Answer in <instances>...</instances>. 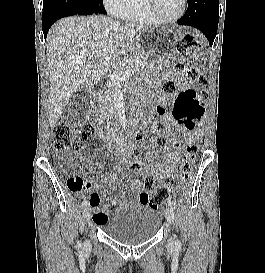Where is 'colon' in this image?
<instances>
[{"instance_id":"1","label":"colon","mask_w":265,"mask_h":273,"mask_svg":"<svg viewBox=\"0 0 265 273\" xmlns=\"http://www.w3.org/2000/svg\"><path fill=\"white\" fill-rule=\"evenodd\" d=\"M201 50L196 37L193 34H185L176 45V52L180 55L190 56L192 59H197ZM177 69H182L177 65ZM186 75L195 80L200 86H205L207 78L200 73L196 67L185 69ZM163 90L166 94L174 95L177 93V84L174 80L168 79L163 84ZM207 92L202 90H185L181 92L174 103L172 114L177 123L183 126L184 132V152H187L183 161L179 165V171L183 180H187L191 174L193 162L196 152L201 148V136L199 129L195 128L196 122L202 118L207 105ZM165 113L163 107L149 109L141 122L138 125L136 133V142L142 144L145 135L151 129L161 127L160 116ZM98 133V128L93 122H82L79 124L58 123L52 131V143L61 156L67 155L75 145H79L95 139ZM166 141L163 137L156 138V146L159 149L164 148ZM174 147H178L179 142L174 141ZM138 158V153H135ZM131 170H140L141 164L138 160L130 165ZM84 181L79 176L70 177L67 180V187L73 193H79L84 189ZM144 190H153L154 197L150 199V204L157 206L167 200L169 197V189L165 185H159L153 177H146L143 181Z\"/></svg>"}]
</instances>
